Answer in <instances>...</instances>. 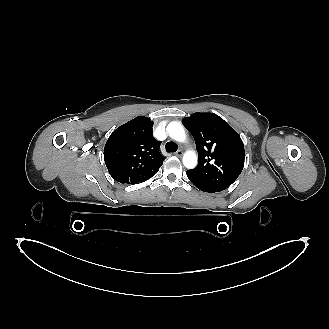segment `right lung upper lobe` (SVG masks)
Listing matches in <instances>:
<instances>
[{"label": "right lung upper lobe", "instance_id": "right-lung-upper-lobe-1", "mask_svg": "<svg viewBox=\"0 0 329 329\" xmlns=\"http://www.w3.org/2000/svg\"><path fill=\"white\" fill-rule=\"evenodd\" d=\"M153 122L138 116L117 128L104 147L110 175L120 183L137 184L153 177L163 164L160 142L152 136Z\"/></svg>", "mask_w": 329, "mask_h": 329}]
</instances>
